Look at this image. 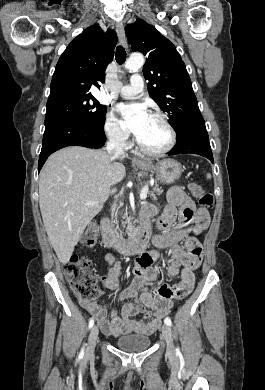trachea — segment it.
<instances>
[{
    "label": "trachea",
    "instance_id": "trachea-1",
    "mask_svg": "<svg viewBox=\"0 0 265 390\" xmlns=\"http://www.w3.org/2000/svg\"><path fill=\"white\" fill-rule=\"evenodd\" d=\"M126 60V52L122 46L116 48V61L119 65H122Z\"/></svg>",
    "mask_w": 265,
    "mask_h": 390
}]
</instances>
